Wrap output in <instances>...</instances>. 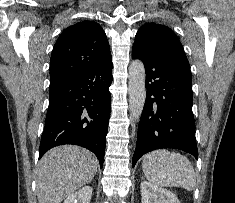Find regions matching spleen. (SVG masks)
<instances>
[{"mask_svg":"<svg viewBox=\"0 0 235 203\" xmlns=\"http://www.w3.org/2000/svg\"><path fill=\"white\" fill-rule=\"evenodd\" d=\"M145 177L160 187H182L192 191L196 174L191 162L183 155L168 150H156L143 157Z\"/></svg>","mask_w":235,"mask_h":203,"instance_id":"spleen-1","label":"spleen"}]
</instances>
